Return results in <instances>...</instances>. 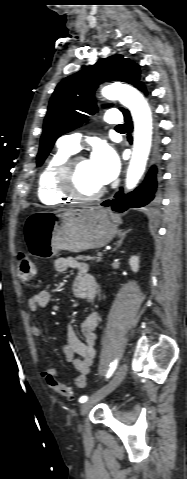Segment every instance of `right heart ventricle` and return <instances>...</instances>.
Listing matches in <instances>:
<instances>
[{
	"mask_svg": "<svg viewBox=\"0 0 187 479\" xmlns=\"http://www.w3.org/2000/svg\"><path fill=\"white\" fill-rule=\"evenodd\" d=\"M75 153L64 146L57 145L42 169L37 186L39 200L46 205H58L71 199L58 188V176L64 163Z\"/></svg>",
	"mask_w": 187,
	"mask_h": 479,
	"instance_id": "obj_1",
	"label": "right heart ventricle"
}]
</instances>
